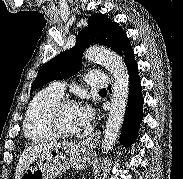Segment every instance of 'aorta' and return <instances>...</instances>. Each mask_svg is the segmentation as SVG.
<instances>
[{"instance_id": "aorta-1", "label": "aorta", "mask_w": 183, "mask_h": 179, "mask_svg": "<svg viewBox=\"0 0 183 179\" xmlns=\"http://www.w3.org/2000/svg\"><path fill=\"white\" fill-rule=\"evenodd\" d=\"M84 57L100 62L114 78L110 113L102 140V152L105 154L115 144L123 123L129 94V74L122 58L109 49L93 46L85 51Z\"/></svg>"}]
</instances>
